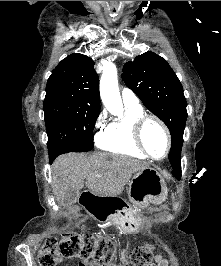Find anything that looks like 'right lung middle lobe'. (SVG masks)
I'll return each instance as SVG.
<instances>
[{
  "instance_id": "1",
  "label": "right lung middle lobe",
  "mask_w": 221,
  "mask_h": 266,
  "mask_svg": "<svg viewBox=\"0 0 221 266\" xmlns=\"http://www.w3.org/2000/svg\"><path fill=\"white\" fill-rule=\"evenodd\" d=\"M43 110L49 157L93 148V129L99 111L88 110L76 98L60 93L46 94Z\"/></svg>"
}]
</instances>
